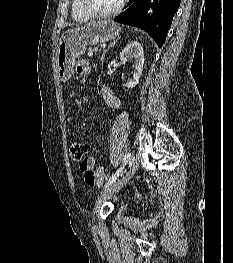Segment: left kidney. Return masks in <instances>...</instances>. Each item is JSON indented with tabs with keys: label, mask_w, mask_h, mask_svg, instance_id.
<instances>
[{
	"label": "left kidney",
	"mask_w": 233,
	"mask_h": 263,
	"mask_svg": "<svg viewBox=\"0 0 233 263\" xmlns=\"http://www.w3.org/2000/svg\"><path fill=\"white\" fill-rule=\"evenodd\" d=\"M133 59V79L127 84H123V86L128 89H132L139 83V79L143 71L144 52L141 44L137 41L130 42L120 53V60L123 63Z\"/></svg>",
	"instance_id": "1"
}]
</instances>
